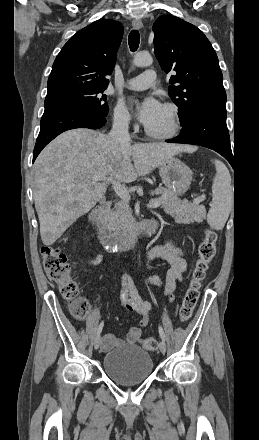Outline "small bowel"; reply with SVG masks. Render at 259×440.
Wrapping results in <instances>:
<instances>
[{"label":"small bowel","instance_id":"small-bowel-1","mask_svg":"<svg viewBox=\"0 0 259 440\" xmlns=\"http://www.w3.org/2000/svg\"><path fill=\"white\" fill-rule=\"evenodd\" d=\"M162 259L166 261L170 268L168 269L164 279L158 275H151L146 278L145 283L155 285L162 289L170 300L174 299V291L178 283L183 282L184 274L188 270V264L185 259V250L176 245L173 241L167 240L161 245L150 248L146 254L145 261L153 259ZM101 259L98 254L94 260H88L89 265H96ZM121 306L125 311L134 312L139 316V326L132 327L123 337H116L107 333L101 341V349L108 351L114 347L124 344H135L141 336V328L146 327L150 319V311L152 304L144 301L138 294L134 285L133 278L126 275L122 279L120 290Z\"/></svg>","mask_w":259,"mask_h":440}]
</instances>
